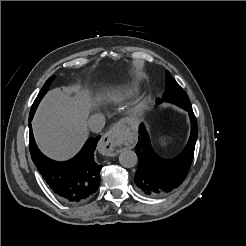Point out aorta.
<instances>
[{
    "instance_id": "1",
    "label": "aorta",
    "mask_w": 246,
    "mask_h": 246,
    "mask_svg": "<svg viewBox=\"0 0 246 246\" xmlns=\"http://www.w3.org/2000/svg\"><path fill=\"white\" fill-rule=\"evenodd\" d=\"M119 162L126 168L134 167L138 162L136 153L132 150H124L119 155Z\"/></svg>"
}]
</instances>
